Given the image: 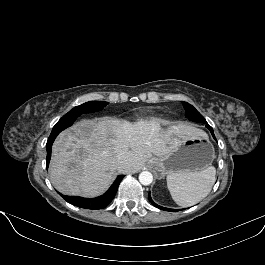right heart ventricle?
Instances as JSON below:
<instances>
[{
    "label": "right heart ventricle",
    "instance_id": "1",
    "mask_svg": "<svg viewBox=\"0 0 265 265\" xmlns=\"http://www.w3.org/2000/svg\"><path fill=\"white\" fill-rule=\"evenodd\" d=\"M150 120L154 123H157L159 125H167L170 123L171 118L166 114H153L150 117Z\"/></svg>",
    "mask_w": 265,
    "mask_h": 265
}]
</instances>
